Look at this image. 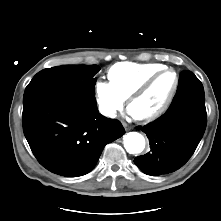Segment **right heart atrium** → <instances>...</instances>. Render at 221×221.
I'll list each match as a JSON object with an SVG mask.
<instances>
[{
	"label": "right heart atrium",
	"instance_id": "right-heart-atrium-1",
	"mask_svg": "<svg viewBox=\"0 0 221 221\" xmlns=\"http://www.w3.org/2000/svg\"><path fill=\"white\" fill-rule=\"evenodd\" d=\"M94 92L100 113L108 119L115 118L124 105V99L120 94L110 82L103 80L96 81Z\"/></svg>",
	"mask_w": 221,
	"mask_h": 221
}]
</instances>
